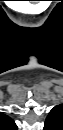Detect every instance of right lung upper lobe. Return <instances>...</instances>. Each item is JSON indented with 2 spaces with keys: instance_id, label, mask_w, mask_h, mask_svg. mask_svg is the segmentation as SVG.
Instances as JSON below:
<instances>
[{
  "instance_id": "obj_1",
  "label": "right lung upper lobe",
  "mask_w": 63,
  "mask_h": 130,
  "mask_svg": "<svg viewBox=\"0 0 63 130\" xmlns=\"http://www.w3.org/2000/svg\"><path fill=\"white\" fill-rule=\"evenodd\" d=\"M0 124L3 128H6L7 130H16L17 129V126L14 123V121L5 114L0 115Z\"/></svg>"
}]
</instances>
